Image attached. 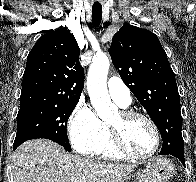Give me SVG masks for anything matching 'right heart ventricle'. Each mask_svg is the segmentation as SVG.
I'll list each match as a JSON object with an SVG mask.
<instances>
[{"label":"right heart ventricle","mask_w":196,"mask_h":182,"mask_svg":"<svg viewBox=\"0 0 196 182\" xmlns=\"http://www.w3.org/2000/svg\"><path fill=\"white\" fill-rule=\"evenodd\" d=\"M94 154H96L102 158H105V159L121 160L124 158V156L121 155L120 153H118L115 150V148L113 147L111 139H110L108 128L105 124H104L103 140H102L101 144L99 145V147L94 152Z\"/></svg>","instance_id":"right-heart-ventricle-1"}]
</instances>
